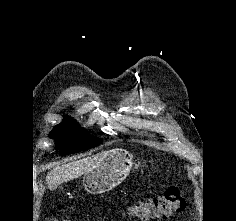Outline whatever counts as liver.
Returning <instances> with one entry per match:
<instances>
[{"mask_svg": "<svg viewBox=\"0 0 236 221\" xmlns=\"http://www.w3.org/2000/svg\"><path fill=\"white\" fill-rule=\"evenodd\" d=\"M108 152L82 158L53 168L46 176L49 189L54 190L60 184L78 178L90 172Z\"/></svg>", "mask_w": 236, "mask_h": 221, "instance_id": "6515ba94", "label": "liver"}]
</instances>
